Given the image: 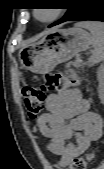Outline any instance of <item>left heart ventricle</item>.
Instances as JSON below:
<instances>
[{
  "mask_svg": "<svg viewBox=\"0 0 104 169\" xmlns=\"http://www.w3.org/2000/svg\"><path fill=\"white\" fill-rule=\"evenodd\" d=\"M37 15L41 19H48L52 15V12L48 9H40L38 10Z\"/></svg>",
  "mask_w": 104,
  "mask_h": 169,
  "instance_id": "obj_1",
  "label": "left heart ventricle"
}]
</instances>
